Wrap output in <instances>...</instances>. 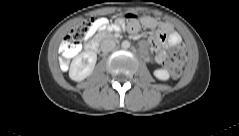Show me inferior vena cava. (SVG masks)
Masks as SVG:
<instances>
[{
    "label": "inferior vena cava",
    "instance_id": "602c4592",
    "mask_svg": "<svg viewBox=\"0 0 239 136\" xmlns=\"http://www.w3.org/2000/svg\"><path fill=\"white\" fill-rule=\"evenodd\" d=\"M116 46V43L112 39H104L101 42L100 49L102 52H110L112 51Z\"/></svg>",
    "mask_w": 239,
    "mask_h": 136
}]
</instances>
